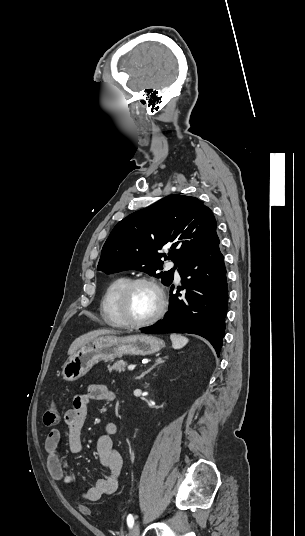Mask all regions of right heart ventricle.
<instances>
[{
	"label": "right heart ventricle",
	"instance_id": "e07e8e85",
	"mask_svg": "<svg viewBox=\"0 0 305 536\" xmlns=\"http://www.w3.org/2000/svg\"><path fill=\"white\" fill-rule=\"evenodd\" d=\"M126 276L114 278L106 287L100 303V316L102 320L113 327H122L123 321L117 310V298L122 287L128 281Z\"/></svg>",
	"mask_w": 305,
	"mask_h": 536
}]
</instances>
